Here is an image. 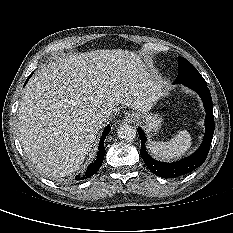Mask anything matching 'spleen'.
<instances>
[{"label": "spleen", "mask_w": 233, "mask_h": 233, "mask_svg": "<svg viewBox=\"0 0 233 233\" xmlns=\"http://www.w3.org/2000/svg\"><path fill=\"white\" fill-rule=\"evenodd\" d=\"M192 144V138L188 131H179L176 136L168 141H152L147 148L156 159L170 160L182 156Z\"/></svg>", "instance_id": "spleen-1"}]
</instances>
